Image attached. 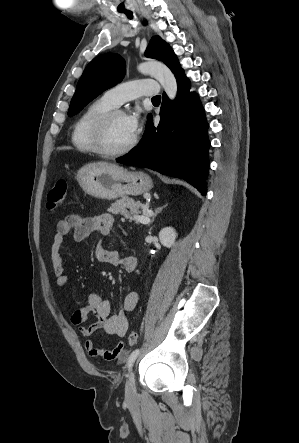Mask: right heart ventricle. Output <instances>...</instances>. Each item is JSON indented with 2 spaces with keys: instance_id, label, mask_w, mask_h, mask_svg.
<instances>
[{
  "instance_id": "right-heart-ventricle-1",
  "label": "right heart ventricle",
  "mask_w": 299,
  "mask_h": 443,
  "mask_svg": "<svg viewBox=\"0 0 299 443\" xmlns=\"http://www.w3.org/2000/svg\"><path fill=\"white\" fill-rule=\"evenodd\" d=\"M104 97L89 104L76 120L71 140L74 147L82 153H96L92 143V133L99 117L107 111L114 109Z\"/></svg>"
}]
</instances>
